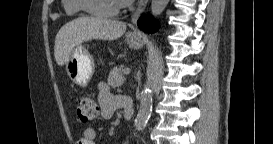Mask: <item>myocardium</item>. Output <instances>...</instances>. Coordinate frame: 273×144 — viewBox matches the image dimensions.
Masks as SVG:
<instances>
[{
    "label": "myocardium",
    "mask_w": 273,
    "mask_h": 144,
    "mask_svg": "<svg viewBox=\"0 0 273 144\" xmlns=\"http://www.w3.org/2000/svg\"><path fill=\"white\" fill-rule=\"evenodd\" d=\"M80 8L90 15L111 16L119 12V6L110 10H101L92 5L93 0H78Z\"/></svg>",
    "instance_id": "myocardium-1"
}]
</instances>
